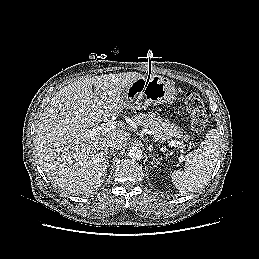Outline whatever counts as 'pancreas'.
<instances>
[{"instance_id": "1", "label": "pancreas", "mask_w": 259, "mask_h": 259, "mask_svg": "<svg viewBox=\"0 0 259 259\" xmlns=\"http://www.w3.org/2000/svg\"><path fill=\"white\" fill-rule=\"evenodd\" d=\"M133 123L148 129L156 140L165 141L172 137H182L181 129L169 120L156 116L155 113H140L132 117ZM189 139L188 136L183 137Z\"/></svg>"}]
</instances>
